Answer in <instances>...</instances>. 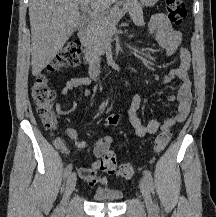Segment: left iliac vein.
<instances>
[{"instance_id":"obj_1","label":"left iliac vein","mask_w":216,"mask_h":217,"mask_svg":"<svg viewBox=\"0 0 216 217\" xmlns=\"http://www.w3.org/2000/svg\"><path fill=\"white\" fill-rule=\"evenodd\" d=\"M140 190L144 198V202L146 204L148 212L152 213L154 211V204L150 195L148 183L145 178H142L140 181Z\"/></svg>"}]
</instances>
